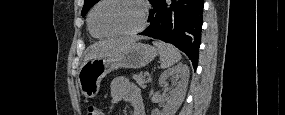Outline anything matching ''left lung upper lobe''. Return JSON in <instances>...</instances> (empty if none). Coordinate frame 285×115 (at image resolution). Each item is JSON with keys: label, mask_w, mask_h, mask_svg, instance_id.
Returning a JSON list of instances; mask_svg holds the SVG:
<instances>
[{"label": "left lung upper lobe", "mask_w": 285, "mask_h": 115, "mask_svg": "<svg viewBox=\"0 0 285 115\" xmlns=\"http://www.w3.org/2000/svg\"><path fill=\"white\" fill-rule=\"evenodd\" d=\"M99 0H85L84 1V7L82 10V16H85V14L88 12V10L98 2Z\"/></svg>", "instance_id": "left-lung-upper-lobe-1"}]
</instances>
